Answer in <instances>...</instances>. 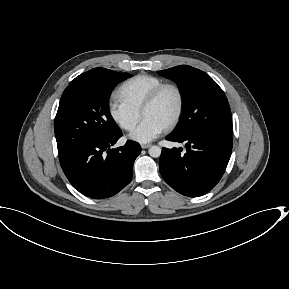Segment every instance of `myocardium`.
Segmentation results:
<instances>
[{"label": "myocardium", "instance_id": "obj_1", "mask_svg": "<svg viewBox=\"0 0 289 289\" xmlns=\"http://www.w3.org/2000/svg\"><path fill=\"white\" fill-rule=\"evenodd\" d=\"M166 89H172L175 91L178 99L177 103V109L173 116V118L170 120V122L166 125L167 130L173 129L180 121L183 111H184V94L182 89L175 83H162L158 87H156L145 99L142 107H141V114L145 112L149 107H151L160 97V95L166 90Z\"/></svg>", "mask_w": 289, "mask_h": 289}]
</instances>
